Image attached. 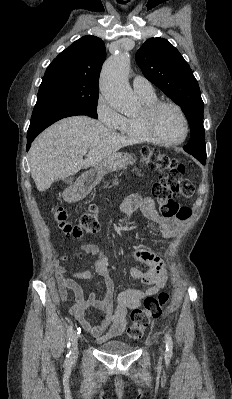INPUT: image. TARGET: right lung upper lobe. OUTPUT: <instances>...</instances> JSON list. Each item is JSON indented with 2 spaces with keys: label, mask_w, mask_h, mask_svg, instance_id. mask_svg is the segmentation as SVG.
<instances>
[{
  "label": "right lung upper lobe",
  "mask_w": 232,
  "mask_h": 399,
  "mask_svg": "<svg viewBox=\"0 0 232 399\" xmlns=\"http://www.w3.org/2000/svg\"><path fill=\"white\" fill-rule=\"evenodd\" d=\"M105 58L104 42L96 36H83L54 59L42 80L62 79L88 87H98Z\"/></svg>",
  "instance_id": "right-lung-upper-lobe-1"
}]
</instances>
